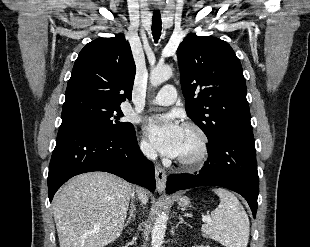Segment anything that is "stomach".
Returning <instances> with one entry per match:
<instances>
[{
  "label": "stomach",
  "instance_id": "1",
  "mask_svg": "<svg viewBox=\"0 0 310 247\" xmlns=\"http://www.w3.org/2000/svg\"><path fill=\"white\" fill-rule=\"evenodd\" d=\"M177 203L180 207L186 208L190 205V200L186 196H181L177 198Z\"/></svg>",
  "mask_w": 310,
  "mask_h": 247
}]
</instances>
